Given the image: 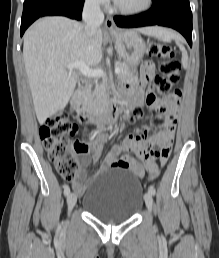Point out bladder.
<instances>
[{
	"label": "bladder",
	"instance_id": "bladder-1",
	"mask_svg": "<svg viewBox=\"0 0 219 258\" xmlns=\"http://www.w3.org/2000/svg\"><path fill=\"white\" fill-rule=\"evenodd\" d=\"M140 180L124 169H110L94 175L86 186L82 206L107 224L130 220L142 207Z\"/></svg>",
	"mask_w": 219,
	"mask_h": 258
}]
</instances>
